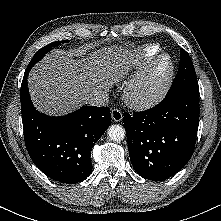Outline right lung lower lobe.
I'll use <instances>...</instances> for the list:
<instances>
[{
    "instance_id": "1",
    "label": "right lung lower lobe",
    "mask_w": 221,
    "mask_h": 221,
    "mask_svg": "<svg viewBox=\"0 0 221 221\" xmlns=\"http://www.w3.org/2000/svg\"><path fill=\"white\" fill-rule=\"evenodd\" d=\"M21 89V114L24 140L35 165L51 179L73 184L92 171L91 148L110 126L108 107L84 106L61 117L38 112L30 99L27 76Z\"/></svg>"
}]
</instances>
